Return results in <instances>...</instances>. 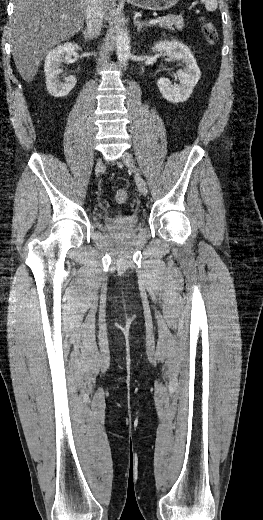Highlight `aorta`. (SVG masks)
Wrapping results in <instances>:
<instances>
[{
	"instance_id": "aorta-1",
	"label": "aorta",
	"mask_w": 263,
	"mask_h": 520,
	"mask_svg": "<svg viewBox=\"0 0 263 520\" xmlns=\"http://www.w3.org/2000/svg\"><path fill=\"white\" fill-rule=\"evenodd\" d=\"M130 39L128 33L121 27L116 29V52L118 63L124 67L131 55Z\"/></svg>"
}]
</instances>
